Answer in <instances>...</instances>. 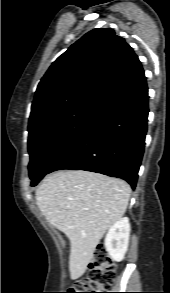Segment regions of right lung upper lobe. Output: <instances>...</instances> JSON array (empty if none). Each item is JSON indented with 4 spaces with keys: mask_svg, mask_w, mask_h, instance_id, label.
<instances>
[{
    "mask_svg": "<svg viewBox=\"0 0 170 293\" xmlns=\"http://www.w3.org/2000/svg\"><path fill=\"white\" fill-rule=\"evenodd\" d=\"M133 49L108 28L94 29L68 48L41 79L28 128L82 103L104 105L145 80Z\"/></svg>",
    "mask_w": 170,
    "mask_h": 293,
    "instance_id": "obj_1",
    "label": "right lung upper lobe"
}]
</instances>
